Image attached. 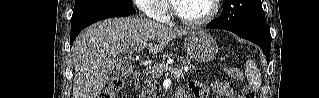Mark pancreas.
Masks as SVG:
<instances>
[{
  "label": "pancreas",
  "instance_id": "pancreas-1",
  "mask_svg": "<svg viewBox=\"0 0 319 98\" xmlns=\"http://www.w3.org/2000/svg\"><path fill=\"white\" fill-rule=\"evenodd\" d=\"M164 56H173V54L169 53V54L164 55ZM178 61L182 65L187 66L189 70H195L196 69V66L191 64L189 59L178 57ZM160 65H163V64H158L156 66L160 67ZM162 72H163V70H162ZM162 72H161V74H162ZM161 74H159V75H161ZM159 75H155L153 73V69L146 73L145 80H144V85H143V87L141 88V90L139 92V97L140 98H149V96L151 95L152 91L154 90L153 82L157 78V76H159Z\"/></svg>",
  "mask_w": 319,
  "mask_h": 98
}]
</instances>
